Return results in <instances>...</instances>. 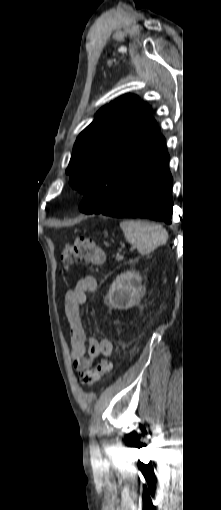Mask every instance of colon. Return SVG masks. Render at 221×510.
I'll return each instance as SVG.
<instances>
[{
    "mask_svg": "<svg viewBox=\"0 0 221 510\" xmlns=\"http://www.w3.org/2000/svg\"><path fill=\"white\" fill-rule=\"evenodd\" d=\"M61 260L65 267L74 263L102 265L106 262V254L92 240L81 237L76 239L73 244L64 246ZM111 368L110 360H102L93 370L81 373V383L87 387L91 386L107 375Z\"/></svg>",
    "mask_w": 221,
    "mask_h": 510,
    "instance_id": "colon-1",
    "label": "colon"
}]
</instances>
